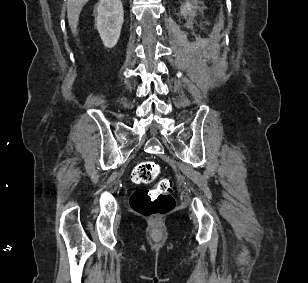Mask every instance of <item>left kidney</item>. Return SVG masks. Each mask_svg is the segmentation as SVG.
<instances>
[{"mask_svg": "<svg viewBox=\"0 0 308 283\" xmlns=\"http://www.w3.org/2000/svg\"><path fill=\"white\" fill-rule=\"evenodd\" d=\"M195 9H196V6H195L194 2L187 1L181 7V14L183 16L193 15L195 13V11H194Z\"/></svg>", "mask_w": 308, "mask_h": 283, "instance_id": "obj_1", "label": "left kidney"}]
</instances>
